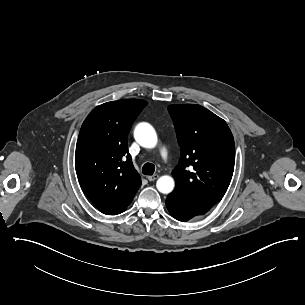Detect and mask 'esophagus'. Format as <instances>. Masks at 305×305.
Listing matches in <instances>:
<instances>
[{
	"mask_svg": "<svg viewBox=\"0 0 305 305\" xmlns=\"http://www.w3.org/2000/svg\"><path fill=\"white\" fill-rule=\"evenodd\" d=\"M158 177H159V175L155 174V175L147 176V179H148L149 181H154V180H156Z\"/></svg>",
	"mask_w": 305,
	"mask_h": 305,
	"instance_id": "esophagus-1",
	"label": "esophagus"
}]
</instances>
